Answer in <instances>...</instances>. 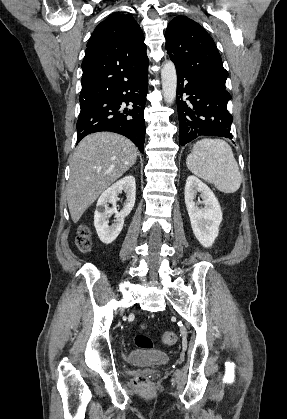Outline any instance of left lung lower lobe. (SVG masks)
<instances>
[{"label": "left lung lower lobe", "mask_w": 287, "mask_h": 419, "mask_svg": "<svg viewBox=\"0 0 287 419\" xmlns=\"http://www.w3.org/2000/svg\"><path fill=\"white\" fill-rule=\"evenodd\" d=\"M183 96H188V102ZM176 98L181 146L200 136L232 139L233 118L227 110L231 95L224 84L177 73Z\"/></svg>", "instance_id": "1"}]
</instances>
